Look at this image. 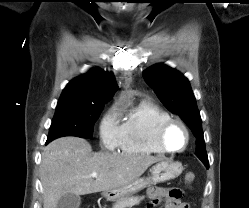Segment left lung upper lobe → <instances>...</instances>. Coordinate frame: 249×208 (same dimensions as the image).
Masks as SVG:
<instances>
[{
  "mask_svg": "<svg viewBox=\"0 0 249 208\" xmlns=\"http://www.w3.org/2000/svg\"><path fill=\"white\" fill-rule=\"evenodd\" d=\"M143 77L160 101L189 126L197 138L196 156L209 168L202 121L188 79L175 69L157 64L143 71Z\"/></svg>",
  "mask_w": 249,
  "mask_h": 208,
  "instance_id": "1",
  "label": "left lung upper lobe"
}]
</instances>
